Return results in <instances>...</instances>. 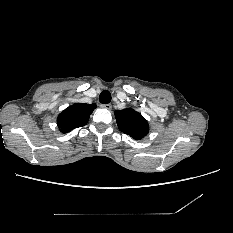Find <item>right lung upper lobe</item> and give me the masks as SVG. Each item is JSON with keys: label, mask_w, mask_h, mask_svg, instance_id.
Masks as SVG:
<instances>
[{"label": "right lung upper lobe", "mask_w": 233, "mask_h": 233, "mask_svg": "<svg viewBox=\"0 0 233 233\" xmlns=\"http://www.w3.org/2000/svg\"><path fill=\"white\" fill-rule=\"evenodd\" d=\"M96 104L75 103L69 106L57 118V124L62 133H67L75 128L87 124Z\"/></svg>", "instance_id": "right-lung-upper-lobe-1"}]
</instances>
